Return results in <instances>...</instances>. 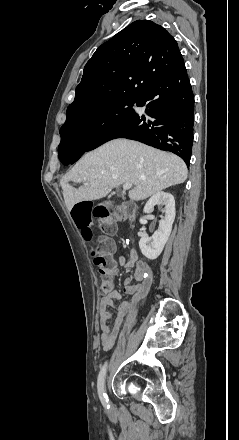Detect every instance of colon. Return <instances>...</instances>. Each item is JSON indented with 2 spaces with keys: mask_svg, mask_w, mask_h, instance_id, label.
Instances as JSON below:
<instances>
[{
  "mask_svg": "<svg viewBox=\"0 0 239 440\" xmlns=\"http://www.w3.org/2000/svg\"><path fill=\"white\" fill-rule=\"evenodd\" d=\"M135 211L132 203H124L117 211H111L105 205L93 207L91 203H79L73 208V219L76 226L82 231L84 239L91 242L94 238L91 223L96 219L102 231L111 234L116 228L117 222L128 217ZM113 243L107 238H101L98 250L92 251L93 262L98 267L99 272L106 278L102 290L106 289L113 277L117 273V262L113 255Z\"/></svg>",
  "mask_w": 239,
  "mask_h": 440,
  "instance_id": "obj_1",
  "label": "colon"
}]
</instances>
